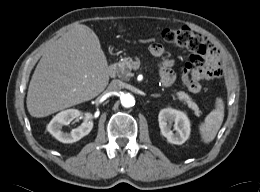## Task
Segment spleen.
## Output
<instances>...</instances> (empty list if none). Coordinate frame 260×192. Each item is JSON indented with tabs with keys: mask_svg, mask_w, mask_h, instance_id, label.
<instances>
[{
	"mask_svg": "<svg viewBox=\"0 0 260 192\" xmlns=\"http://www.w3.org/2000/svg\"><path fill=\"white\" fill-rule=\"evenodd\" d=\"M224 119V102L221 97L215 101V109L212 110L205 118L204 122L199 125L201 139L208 144L216 137Z\"/></svg>",
	"mask_w": 260,
	"mask_h": 192,
	"instance_id": "3e777b00",
	"label": "spleen"
}]
</instances>
